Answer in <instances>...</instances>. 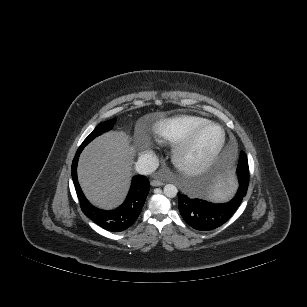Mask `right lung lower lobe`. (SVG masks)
<instances>
[{
	"label": "right lung lower lobe",
	"mask_w": 307,
	"mask_h": 307,
	"mask_svg": "<svg viewBox=\"0 0 307 307\" xmlns=\"http://www.w3.org/2000/svg\"><path fill=\"white\" fill-rule=\"evenodd\" d=\"M83 150L79 147L72 163V179L78 195L83 213L100 227L111 231L120 232L130 227L138 218L150 189L146 176L136 175L132 179L131 188L125 202L118 208L105 211L94 207L84 196L77 180L78 158Z\"/></svg>",
	"instance_id": "obj_1"
}]
</instances>
